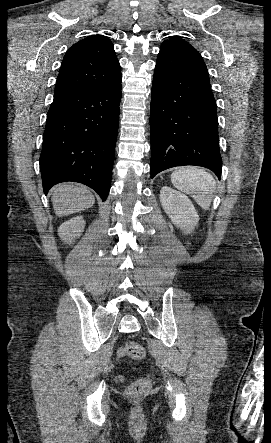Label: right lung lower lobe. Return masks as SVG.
<instances>
[{
    "label": "right lung lower lobe",
    "mask_w": 271,
    "mask_h": 443,
    "mask_svg": "<svg viewBox=\"0 0 271 443\" xmlns=\"http://www.w3.org/2000/svg\"><path fill=\"white\" fill-rule=\"evenodd\" d=\"M122 78L97 88L54 95L40 156L43 190L73 181L106 200L118 133Z\"/></svg>",
    "instance_id": "1"
}]
</instances>
